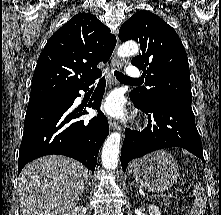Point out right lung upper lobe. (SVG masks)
<instances>
[{"mask_svg":"<svg viewBox=\"0 0 221 215\" xmlns=\"http://www.w3.org/2000/svg\"><path fill=\"white\" fill-rule=\"evenodd\" d=\"M116 37L94 15L78 13L58 29L41 52L29 101L59 96L91 81L109 60Z\"/></svg>","mask_w":221,"mask_h":215,"instance_id":"1","label":"right lung upper lobe"}]
</instances>
